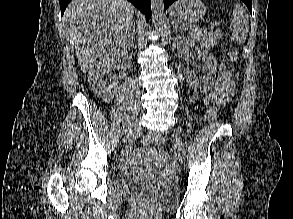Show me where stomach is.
Returning <instances> with one entry per match:
<instances>
[{
    "label": "stomach",
    "instance_id": "stomach-1",
    "mask_svg": "<svg viewBox=\"0 0 293 219\" xmlns=\"http://www.w3.org/2000/svg\"><path fill=\"white\" fill-rule=\"evenodd\" d=\"M171 13L178 19L196 22L205 16L206 7L201 0H179Z\"/></svg>",
    "mask_w": 293,
    "mask_h": 219
}]
</instances>
